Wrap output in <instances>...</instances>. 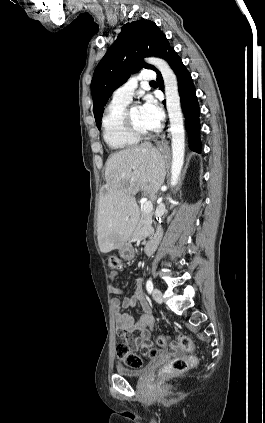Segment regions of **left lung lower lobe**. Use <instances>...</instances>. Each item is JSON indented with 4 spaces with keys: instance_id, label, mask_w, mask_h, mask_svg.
<instances>
[{
    "instance_id": "0a47b994",
    "label": "left lung lower lobe",
    "mask_w": 265,
    "mask_h": 423,
    "mask_svg": "<svg viewBox=\"0 0 265 423\" xmlns=\"http://www.w3.org/2000/svg\"><path fill=\"white\" fill-rule=\"evenodd\" d=\"M178 79V91L181 98V106L186 118V128L189 137V146L193 151L200 152L201 142L199 136V105L197 102L195 87L190 73L183 65L180 57L170 46L164 55V58ZM157 82L161 90L164 89L163 79L161 73L157 70ZM165 104V102H163Z\"/></svg>"
}]
</instances>
